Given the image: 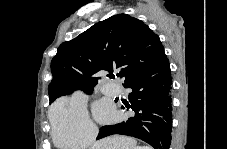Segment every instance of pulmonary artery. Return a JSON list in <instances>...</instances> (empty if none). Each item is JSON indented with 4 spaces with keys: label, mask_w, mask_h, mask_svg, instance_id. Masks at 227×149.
Masks as SVG:
<instances>
[{
    "label": "pulmonary artery",
    "mask_w": 227,
    "mask_h": 149,
    "mask_svg": "<svg viewBox=\"0 0 227 149\" xmlns=\"http://www.w3.org/2000/svg\"><path fill=\"white\" fill-rule=\"evenodd\" d=\"M107 90L114 95L117 94V92H118V90L114 86H108Z\"/></svg>",
    "instance_id": "obj_1"
}]
</instances>
